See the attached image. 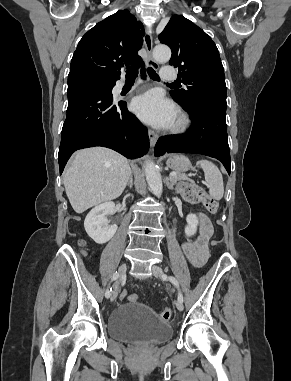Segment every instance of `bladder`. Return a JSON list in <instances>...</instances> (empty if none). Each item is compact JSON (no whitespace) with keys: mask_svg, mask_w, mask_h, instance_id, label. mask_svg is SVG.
<instances>
[{"mask_svg":"<svg viewBox=\"0 0 291 381\" xmlns=\"http://www.w3.org/2000/svg\"><path fill=\"white\" fill-rule=\"evenodd\" d=\"M107 330L111 339L126 343L157 344L172 335L169 322L140 301L121 303L111 311Z\"/></svg>","mask_w":291,"mask_h":381,"instance_id":"bladder-1","label":"bladder"}]
</instances>
